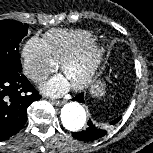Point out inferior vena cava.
I'll return each mask as SVG.
<instances>
[{
  "mask_svg": "<svg viewBox=\"0 0 153 153\" xmlns=\"http://www.w3.org/2000/svg\"><path fill=\"white\" fill-rule=\"evenodd\" d=\"M45 79H47V76H45V75H43V74H36V75L34 76V80H35V81H43V80H45Z\"/></svg>",
  "mask_w": 153,
  "mask_h": 153,
  "instance_id": "inferior-vena-cava-1",
  "label": "inferior vena cava"
}]
</instances>
